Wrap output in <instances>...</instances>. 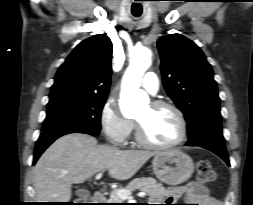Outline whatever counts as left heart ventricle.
<instances>
[{"instance_id":"left-heart-ventricle-1","label":"left heart ventricle","mask_w":253,"mask_h":205,"mask_svg":"<svg viewBox=\"0 0 253 205\" xmlns=\"http://www.w3.org/2000/svg\"><path fill=\"white\" fill-rule=\"evenodd\" d=\"M145 137L156 144H169L180 134V125L173 111L167 108L154 109L150 105L135 117Z\"/></svg>"}]
</instances>
